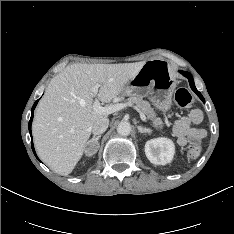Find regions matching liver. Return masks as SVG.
Masks as SVG:
<instances>
[{
  "mask_svg": "<svg viewBox=\"0 0 234 234\" xmlns=\"http://www.w3.org/2000/svg\"><path fill=\"white\" fill-rule=\"evenodd\" d=\"M144 61L119 64H72L49 83L32 124L36 151L54 172L70 174L81 159L92 125L107 114L93 110L95 94L109 103L140 71Z\"/></svg>",
  "mask_w": 234,
  "mask_h": 234,
  "instance_id": "obj_1",
  "label": "liver"
}]
</instances>
